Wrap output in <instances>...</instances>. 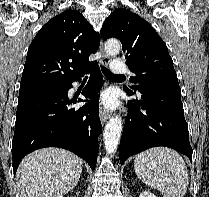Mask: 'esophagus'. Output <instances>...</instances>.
Here are the masks:
<instances>
[{"label": "esophagus", "mask_w": 209, "mask_h": 197, "mask_svg": "<svg viewBox=\"0 0 209 197\" xmlns=\"http://www.w3.org/2000/svg\"><path fill=\"white\" fill-rule=\"evenodd\" d=\"M100 52H101V63L105 66H107L109 64V57L104 53V49H103V43L101 42L100 44ZM99 116H100V121L102 124H104L108 118H109V115L107 112H105L103 109H100V112H99Z\"/></svg>", "instance_id": "obj_1"}]
</instances>
